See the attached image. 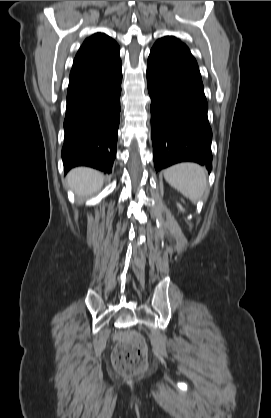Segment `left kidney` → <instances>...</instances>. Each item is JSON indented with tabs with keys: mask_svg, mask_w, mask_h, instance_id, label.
<instances>
[{
	"mask_svg": "<svg viewBox=\"0 0 271 418\" xmlns=\"http://www.w3.org/2000/svg\"><path fill=\"white\" fill-rule=\"evenodd\" d=\"M178 206H179L180 210H183V209H182V207H181L180 205H178Z\"/></svg>",
	"mask_w": 271,
	"mask_h": 418,
	"instance_id": "1",
	"label": "left kidney"
}]
</instances>
